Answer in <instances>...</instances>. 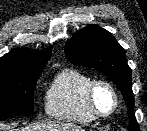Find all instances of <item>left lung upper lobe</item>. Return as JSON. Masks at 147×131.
Here are the masks:
<instances>
[{"mask_svg": "<svg viewBox=\"0 0 147 131\" xmlns=\"http://www.w3.org/2000/svg\"><path fill=\"white\" fill-rule=\"evenodd\" d=\"M65 56L76 65L95 68L116 84L128 107L131 122L128 130L139 131L134 115L131 69L127 64L124 49L114 36L98 25L88 26L66 42Z\"/></svg>", "mask_w": 147, "mask_h": 131, "instance_id": "obj_1", "label": "left lung upper lobe"}]
</instances>
